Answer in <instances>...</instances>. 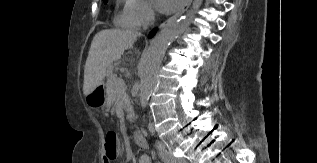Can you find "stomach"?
Masks as SVG:
<instances>
[{
  "mask_svg": "<svg viewBox=\"0 0 317 163\" xmlns=\"http://www.w3.org/2000/svg\"><path fill=\"white\" fill-rule=\"evenodd\" d=\"M86 103L91 108L107 106V94L104 85L97 86L90 94L86 96Z\"/></svg>",
  "mask_w": 317,
  "mask_h": 163,
  "instance_id": "stomach-1",
  "label": "stomach"
}]
</instances>
